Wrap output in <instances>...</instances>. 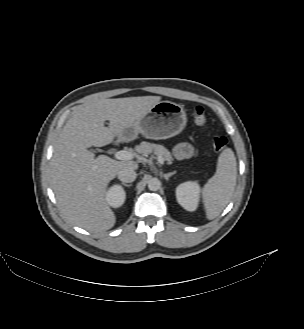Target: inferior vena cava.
Returning <instances> with one entry per match:
<instances>
[{
	"instance_id": "1",
	"label": "inferior vena cava",
	"mask_w": 304,
	"mask_h": 329,
	"mask_svg": "<svg viewBox=\"0 0 304 329\" xmlns=\"http://www.w3.org/2000/svg\"><path fill=\"white\" fill-rule=\"evenodd\" d=\"M118 179L123 183H130L136 179V172L133 169L124 168L118 171Z\"/></svg>"
}]
</instances>
